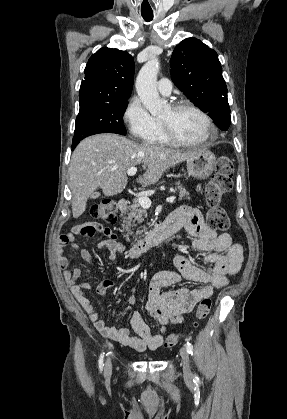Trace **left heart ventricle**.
I'll return each mask as SVG.
<instances>
[{
	"instance_id": "left-heart-ventricle-1",
	"label": "left heart ventricle",
	"mask_w": 287,
	"mask_h": 419,
	"mask_svg": "<svg viewBox=\"0 0 287 419\" xmlns=\"http://www.w3.org/2000/svg\"><path fill=\"white\" fill-rule=\"evenodd\" d=\"M159 119L178 138L185 141L201 140L208 133L207 126L202 117L191 109L174 110L172 107H169Z\"/></svg>"
}]
</instances>
